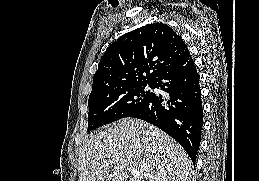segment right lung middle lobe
<instances>
[{
    "label": "right lung middle lobe",
    "instance_id": "obj_1",
    "mask_svg": "<svg viewBox=\"0 0 259 181\" xmlns=\"http://www.w3.org/2000/svg\"><path fill=\"white\" fill-rule=\"evenodd\" d=\"M152 83L110 89L89 97L88 131L102 125L130 117L140 110L152 96L145 87Z\"/></svg>",
    "mask_w": 259,
    "mask_h": 181
}]
</instances>
